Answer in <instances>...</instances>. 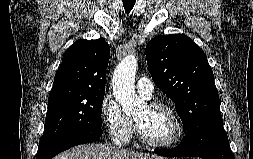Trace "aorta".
I'll return each mask as SVG.
<instances>
[{
	"instance_id": "aorta-1",
	"label": "aorta",
	"mask_w": 253,
	"mask_h": 159,
	"mask_svg": "<svg viewBox=\"0 0 253 159\" xmlns=\"http://www.w3.org/2000/svg\"><path fill=\"white\" fill-rule=\"evenodd\" d=\"M136 70L137 59L135 55L130 54L123 58L113 74V94L126 114L135 113L144 106L143 100L135 92Z\"/></svg>"
}]
</instances>
